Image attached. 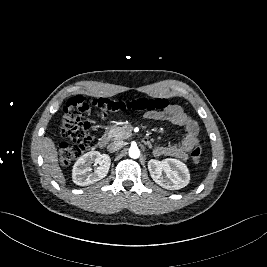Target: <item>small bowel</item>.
Returning <instances> with one entry per match:
<instances>
[{
  "instance_id": "c3829d8e",
  "label": "small bowel",
  "mask_w": 267,
  "mask_h": 267,
  "mask_svg": "<svg viewBox=\"0 0 267 267\" xmlns=\"http://www.w3.org/2000/svg\"><path fill=\"white\" fill-rule=\"evenodd\" d=\"M154 120H163L184 128V137L178 144L157 145L154 147L156 156H167L175 159H186L188 153L198 144L199 127L197 122L179 105H172L167 110L149 114ZM147 145H151L148 139Z\"/></svg>"
}]
</instances>
